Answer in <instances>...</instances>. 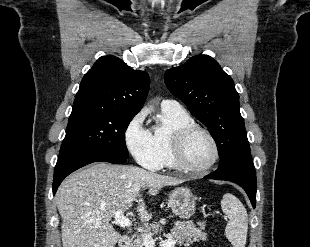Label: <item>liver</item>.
<instances>
[{
    "instance_id": "liver-1",
    "label": "liver",
    "mask_w": 310,
    "mask_h": 247,
    "mask_svg": "<svg viewBox=\"0 0 310 247\" xmlns=\"http://www.w3.org/2000/svg\"><path fill=\"white\" fill-rule=\"evenodd\" d=\"M182 179L147 171L137 166L99 162L67 177L55 201L62 218L63 247H114L121 235L111 224L113 213L138 203L142 222L152 218L140 191L158 194L164 186H175Z\"/></svg>"
}]
</instances>
